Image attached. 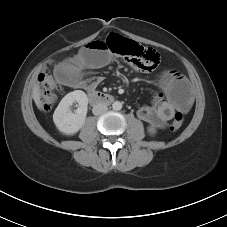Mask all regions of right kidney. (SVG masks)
Masks as SVG:
<instances>
[{"instance_id": "1", "label": "right kidney", "mask_w": 227, "mask_h": 227, "mask_svg": "<svg viewBox=\"0 0 227 227\" xmlns=\"http://www.w3.org/2000/svg\"><path fill=\"white\" fill-rule=\"evenodd\" d=\"M75 102L78 103V108L73 113L71 106ZM87 110V95L81 90H75L61 100L53 114V121L60 132L65 135H73L84 125Z\"/></svg>"}]
</instances>
